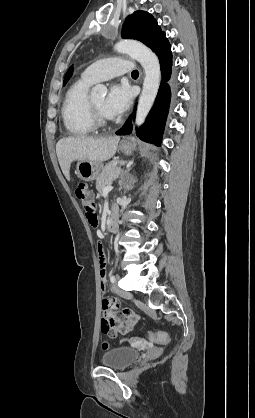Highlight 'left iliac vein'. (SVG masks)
Masks as SVG:
<instances>
[{
    "mask_svg": "<svg viewBox=\"0 0 255 418\" xmlns=\"http://www.w3.org/2000/svg\"><path fill=\"white\" fill-rule=\"evenodd\" d=\"M117 279H118V278H117ZM112 288H113V291H114L116 294H118V295H120V296H122V297H125V298H130V297H131V294H130L129 292H126V291L122 290V289L118 286V284H117L116 282H114V283H113Z\"/></svg>",
    "mask_w": 255,
    "mask_h": 418,
    "instance_id": "4c4485c4",
    "label": "left iliac vein"
}]
</instances>
